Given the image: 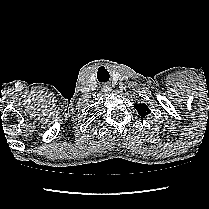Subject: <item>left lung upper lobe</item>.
Segmentation results:
<instances>
[{"instance_id": "left-lung-upper-lobe-1", "label": "left lung upper lobe", "mask_w": 209, "mask_h": 209, "mask_svg": "<svg viewBox=\"0 0 209 209\" xmlns=\"http://www.w3.org/2000/svg\"><path fill=\"white\" fill-rule=\"evenodd\" d=\"M135 109L138 111L139 115L141 117H145L150 113V110L148 109V106L146 104H136Z\"/></svg>"}]
</instances>
